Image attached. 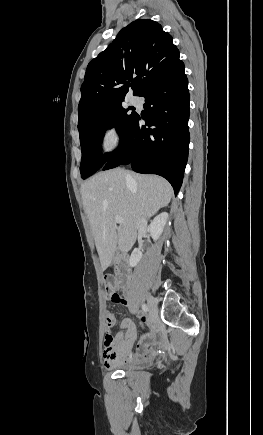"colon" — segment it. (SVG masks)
<instances>
[{
	"label": "colon",
	"mask_w": 263,
	"mask_h": 435,
	"mask_svg": "<svg viewBox=\"0 0 263 435\" xmlns=\"http://www.w3.org/2000/svg\"><path fill=\"white\" fill-rule=\"evenodd\" d=\"M115 280L112 276H107L104 279V284L107 290V297L113 303H119L121 301V296L113 290ZM110 328L109 326H107ZM104 348L105 350H114L115 343L113 341V337L108 332L104 339Z\"/></svg>",
	"instance_id": "1"
}]
</instances>
